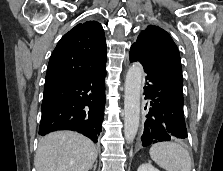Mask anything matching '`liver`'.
I'll use <instances>...</instances> for the list:
<instances>
[{
  "label": "liver",
  "instance_id": "1",
  "mask_svg": "<svg viewBox=\"0 0 223 171\" xmlns=\"http://www.w3.org/2000/svg\"><path fill=\"white\" fill-rule=\"evenodd\" d=\"M97 154L87 137L72 131H56L41 138L34 164L37 171H88Z\"/></svg>",
  "mask_w": 223,
  "mask_h": 171
}]
</instances>
